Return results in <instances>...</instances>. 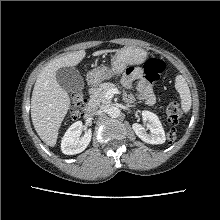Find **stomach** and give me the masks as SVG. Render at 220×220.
Here are the masks:
<instances>
[{"label":"stomach","instance_id":"obj_1","mask_svg":"<svg viewBox=\"0 0 220 220\" xmlns=\"http://www.w3.org/2000/svg\"><path fill=\"white\" fill-rule=\"evenodd\" d=\"M147 53L138 47H125L115 53L111 59V66H100L91 70L87 79L94 86L115 75L121 74L126 66L138 65L146 60Z\"/></svg>","mask_w":220,"mask_h":220}]
</instances>
